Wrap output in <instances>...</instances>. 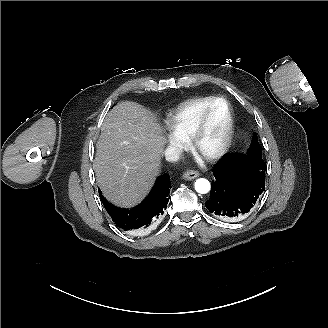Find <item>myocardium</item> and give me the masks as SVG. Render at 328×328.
<instances>
[{
	"label": "myocardium",
	"mask_w": 328,
	"mask_h": 328,
	"mask_svg": "<svg viewBox=\"0 0 328 328\" xmlns=\"http://www.w3.org/2000/svg\"><path fill=\"white\" fill-rule=\"evenodd\" d=\"M219 103H222L226 106L228 112V122L224 132L223 139L220 145L212 152H205L201 148L200 136H201V125L206 117V115L213 110ZM235 134V114L234 109L231 103L223 97H215L214 100L204 108H202L197 116L195 117L193 123L190 126L188 136H187V145L189 148L200 158L214 162L220 160L226 156L233 144Z\"/></svg>",
	"instance_id": "1"
}]
</instances>
